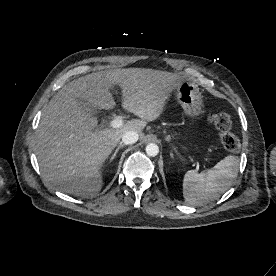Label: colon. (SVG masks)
I'll return each mask as SVG.
<instances>
[{"mask_svg":"<svg viewBox=\"0 0 276 276\" xmlns=\"http://www.w3.org/2000/svg\"><path fill=\"white\" fill-rule=\"evenodd\" d=\"M209 121L218 130L219 140L223 148L230 152H237L240 149V140L231 132L230 116L224 112H212L209 115Z\"/></svg>","mask_w":276,"mask_h":276,"instance_id":"colon-1","label":"colon"}]
</instances>
